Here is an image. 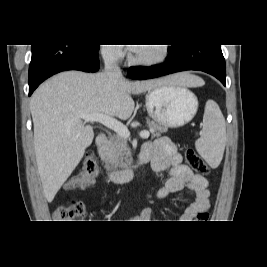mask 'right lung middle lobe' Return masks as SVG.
<instances>
[{"label": "right lung middle lobe", "instance_id": "right-lung-middle-lobe-1", "mask_svg": "<svg viewBox=\"0 0 267 267\" xmlns=\"http://www.w3.org/2000/svg\"><path fill=\"white\" fill-rule=\"evenodd\" d=\"M94 48L99 49V45H92Z\"/></svg>", "mask_w": 267, "mask_h": 267}]
</instances>
